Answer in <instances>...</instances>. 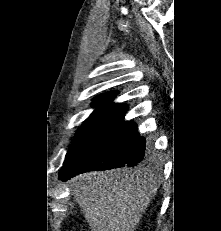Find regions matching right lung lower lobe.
Instances as JSON below:
<instances>
[{
  "mask_svg": "<svg viewBox=\"0 0 221 231\" xmlns=\"http://www.w3.org/2000/svg\"><path fill=\"white\" fill-rule=\"evenodd\" d=\"M126 111L117 116L70 165L62 167L60 180L66 181L87 171L132 167L149 158L153 147H146L135 123L124 120Z\"/></svg>",
  "mask_w": 221,
  "mask_h": 231,
  "instance_id": "obj_1",
  "label": "right lung lower lobe"
}]
</instances>
